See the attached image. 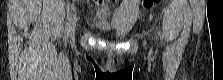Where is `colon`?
<instances>
[{"mask_svg":"<svg viewBox=\"0 0 223 80\" xmlns=\"http://www.w3.org/2000/svg\"><path fill=\"white\" fill-rule=\"evenodd\" d=\"M159 0H142L141 4L145 8L151 7L153 4L157 3Z\"/></svg>","mask_w":223,"mask_h":80,"instance_id":"1","label":"colon"}]
</instances>
